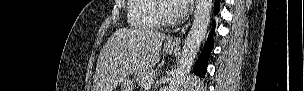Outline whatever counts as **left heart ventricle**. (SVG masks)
Wrapping results in <instances>:
<instances>
[{"label":"left heart ventricle","mask_w":304,"mask_h":91,"mask_svg":"<svg viewBox=\"0 0 304 91\" xmlns=\"http://www.w3.org/2000/svg\"><path fill=\"white\" fill-rule=\"evenodd\" d=\"M164 12L167 16L170 17H176L178 15L176 13L175 5L173 1L164 3Z\"/></svg>","instance_id":"1"}]
</instances>
